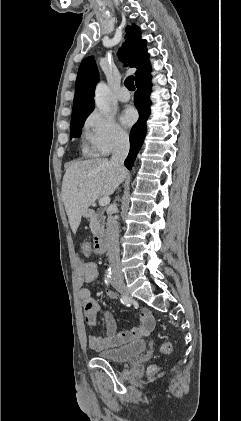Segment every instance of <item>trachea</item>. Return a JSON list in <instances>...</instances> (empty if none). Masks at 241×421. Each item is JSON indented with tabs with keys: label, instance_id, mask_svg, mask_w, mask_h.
Instances as JSON below:
<instances>
[{
	"label": "trachea",
	"instance_id": "3493384b",
	"mask_svg": "<svg viewBox=\"0 0 241 421\" xmlns=\"http://www.w3.org/2000/svg\"><path fill=\"white\" fill-rule=\"evenodd\" d=\"M124 85L128 90L134 91L135 90L134 77L133 76L127 77L124 81Z\"/></svg>",
	"mask_w": 241,
	"mask_h": 421
}]
</instances>
